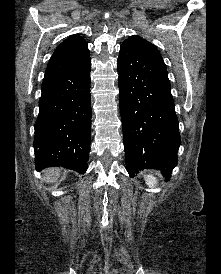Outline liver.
I'll list each match as a JSON object with an SVG mask.
<instances>
[{
    "instance_id": "liver-1",
    "label": "liver",
    "mask_w": 221,
    "mask_h": 274,
    "mask_svg": "<svg viewBox=\"0 0 221 274\" xmlns=\"http://www.w3.org/2000/svg\"><path fill=\"white\" fill-rule=\"evenodd\" d=\"M60 170L58 168H51L45 171V180L48 183H53L60 177Z\"/></svg>"
}]
</instances>
